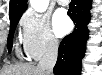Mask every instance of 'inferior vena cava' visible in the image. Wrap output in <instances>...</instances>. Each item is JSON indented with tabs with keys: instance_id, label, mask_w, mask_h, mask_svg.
Wrapping results in <instances>:
<instances>
[{
	"instance_id": "1",
	"label": "inferior vena cava",
	"mask_w": 102,
	"mask_h": 75,
	"mask_svg": "<svg viewBox=\"0 0 102 75\" xmlns=\"http://www.w3.org/2000/svg\"><path fill=\"white\" fill-rule=\"evenodd\" d=\"M58 55V41L54 38H50L46 51L42 59L39 61L38 67L46 72L47 75L53 74V68L57 61Z\"/></svg>"
}]
</instances>
